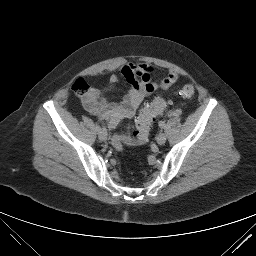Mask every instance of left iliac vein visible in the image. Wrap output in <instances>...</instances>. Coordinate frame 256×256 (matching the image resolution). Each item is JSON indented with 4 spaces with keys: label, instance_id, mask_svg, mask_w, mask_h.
Masks as SVG:
<instances>
[{
    "label": "left iliac vein",
    "instance_id": "obj_1",
    "mask_svg": "<svg viewBox=\"0 0 256 256\" xmlns=\"http://www.w3.org/2000/svg\"><path fill=\"white\" fill-rule=\"evenodd\" d=\"M156 141L159 145H163L166 142V135L164 133H160L157 136Z\"/></svg>",
    "mask_w": 256,
    "mask_h": 256
}]
</instances>
